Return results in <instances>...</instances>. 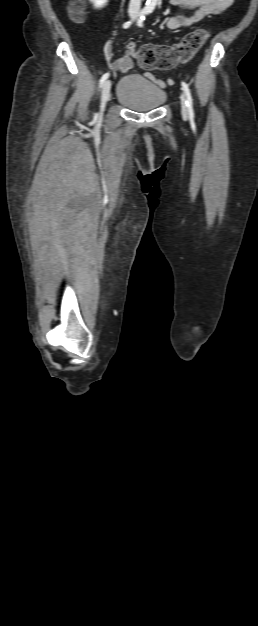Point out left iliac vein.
I'll list each match as a JSON object with an SVG mask.
<instances>
[{
	"mask_svg": "<svg viewBox=\"0 0 258 626\" xmlns=\"http://www.w3.org/2000/svg\"><path fill=\"white\" fill-rule=\"evenodd\" d=\"M180 100H181V111H182V114L184 116H187L188 108H187V104H186V98H185V95L183 93H181V95H180Z\"/></svg>",
	"mask_w": 258,
	"mask_h": 626,
	"instance_id": "left-iliac-vein-1",
	"label": "left iliac vein"
}]
</instances>
